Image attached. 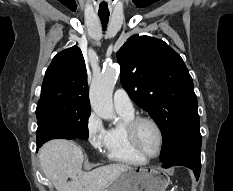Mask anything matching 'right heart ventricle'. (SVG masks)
<instances>
[{"label":"right heart ventricle","mask_w":233,"mask_h":191,"mask_svg":"<svg viewBox=\"0 0 233 191\" xmlns=\"http://www.w3.org/2000/svg\"><path fill=\"white\" fill-rule=\"evenodd\" d=\"M121 122L107 130L106 155L109 160L127 164H142L147 160L141 157L131 146L126 126L135 118L134 112L118 111Z\"/></svg>","instance_id":"e07e8e85"}]
</instances>
